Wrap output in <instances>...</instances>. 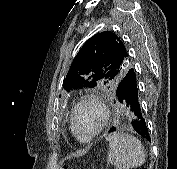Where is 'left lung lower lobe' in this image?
Masks as SVG:
<instances>
[{
  "label": "left lung lower lobe",
  "mask_w": 177,
  "mask_h": 169,
  "mask_svg": "<svg viewBox=\"0 0 177 169\" xmlns=\"http://www.w3.org/2000/svg\"><path fill=\"white\" fill-rule=\"evenodd\" d=\"M118 100L126 105L132 112H134L136 119L132 122L133 129L150 141V135L143 117V112L138 100L137 79L133 68H130L122 80L119 82L116 90ZM116 128L112 127L109 132L115 131Z\"/></svg>",
  "instance_id": "left-lung-lower-lobe-1"
}]
</instances>
